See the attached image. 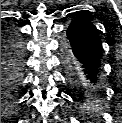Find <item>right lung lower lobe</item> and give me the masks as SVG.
<instances>
[{
	"instance_id": "right-lung-lower-lobe-1",
	"label": "right lung lower lobe",
	"mask_w": 122,
	"mask_h": 123,
	"mask_svg": "<svg viewBox=\"0 0 122 123\" xmlns=\"http://www.w3.org/2000/svg\"><path fill=\"white\" fill-rule=\"evenodd\" d=\"M24 48L21 40L10 31H1V96H15L22 78Z\"/></svg>"
}]
</instances>
